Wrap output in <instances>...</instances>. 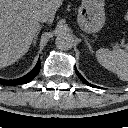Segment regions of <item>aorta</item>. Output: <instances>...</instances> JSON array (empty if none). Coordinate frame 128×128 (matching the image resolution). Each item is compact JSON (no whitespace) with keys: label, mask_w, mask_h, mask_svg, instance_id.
<instances>
[{"label":"aorta","mask_w":128,"mask_h":128,"mask_svg":"<svg viewBox=\"0 0 128 128\" xmlns=\"http://www.w3.org/2000/svg\"><path fill=\"white\" fill-rule=\"evenodd\" d=\"M74 39L72 35L63 33L59 37H57L56 43L59 49L61 50H69L73 46Z\"/></svg>","instance_id":"1"}]
</instances>
